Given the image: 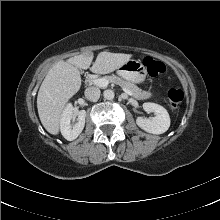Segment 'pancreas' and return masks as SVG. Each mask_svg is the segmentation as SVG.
Segmentation results:
<instances>
[{"label": "pancreas", "mask_w": 220, "mask_h": 220, "mask_svg": "<svg viewBox=\"0 0 220 220\" xmlns=\"http://www.w3.org/2000/svg\"><path fill=\"white\" fill-rule=\"evenodd\" d=\"M105 79H107L110 83L117 84L121 86L122 88H126L132 92V96L138 100L148 99L152 96V93L149 91H143L135 84L125 81L122 78L116 76V75H110L105 76ZM94 79H91L90 82H93Z\"/></svg>", "instance_id": "cf45deb5"}]
</instances>
